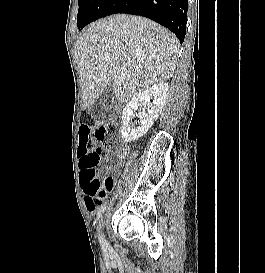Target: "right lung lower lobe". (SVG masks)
<instances>
[{
	"label": "right lung lower lobe",
	"instance_id": "right-lung-lower-lobe-1",
	"mask_svg": "<svg viewBox=\"0 0 265 273\" xmlns=\"http://www.w3.org/2000/svg\"><path fill=\"white\" fill-rule=\"evenodd\" d=\"M187 10V0H118L106 16L126 13L147 17L171 30L183 43Z\"/></svg>",
	"mask_w": 265,
	"mask_h": 273
}]
</instances>
